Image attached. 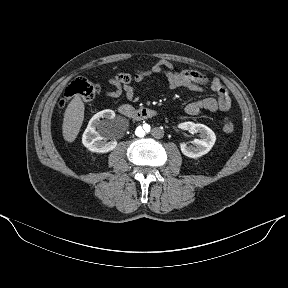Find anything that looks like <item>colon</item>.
<instances>
[{
    "label": "colon",
    "instance_id": "colon-1",
    "mask_svg": "<svg viewBox=\"0 0 288 288\" xmlns=\"http://www.w3.org/2000/svg\"><path fill=\"white\" fill-rule=\"evenodd\" d=\"M140 78V75L133 76L125 72L115 75V80L123 84H128L132 80H139ZM98 92V85L85 78H77L66 88L64 96L60 101V106L63 108L69 100L75 97L81 98L84 101H90L98 94ZM223 131L227 134H231L235 131L234 122L227 117L223 121Z\"/></svg>",
    "mask_w": 288,
    "mask_h": 288
}]
</instances>
